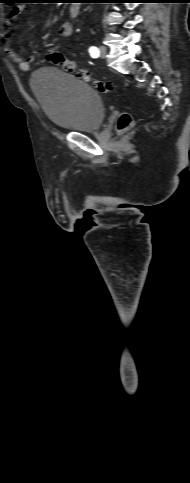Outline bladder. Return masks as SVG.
<instances>
[{"label":"bladder","mask_w":190,"mask_h":483,"mask_svg":"<svg viewBox=\"0 0 190 483\" xmlns=\"http://www.w3.org/2000/svg\"><path fill=\"white\" fill-rule=\"evenodd\" d=\"M30 86L48 120L62 130L94 131L101 127L105 107L96 90L55 68L36 71Z\"/></svg>","instance_id":"31cf9c89"}]
</instances>
